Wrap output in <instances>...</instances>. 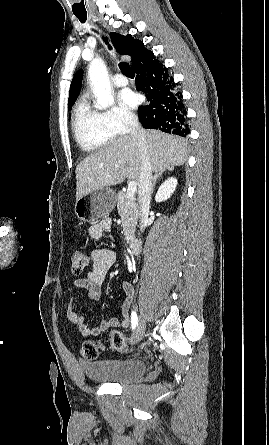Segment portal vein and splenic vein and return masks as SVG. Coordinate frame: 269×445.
<instances>
[{
  "mask_svg": "<svg viewBox=\"0 0 269 445\" xmlns=\"http://www.w3.org/2000/svg\"><path fill=\"white\" fill-rule=\"evenodd\" d=\"M137 191V183L135 181H130L128 183L127 195L129 198L134 197Z\"/></svg>",
  "mask_w": 269,
  "mask_h": 445,
  "instance_id": "obj_1",
  "label": "portal vein and splenic vein"
}]
</instances>
